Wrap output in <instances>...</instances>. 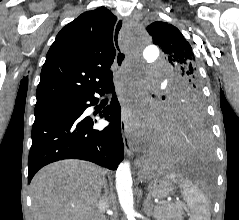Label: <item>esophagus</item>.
<instances>
[{
	"mask_svg": "<svg viewBox=\"0 0 239 220\" xmlns=\"http://www.w3.org/2000/svg\"><path fill=\"white\" fill-rule=\"evenodd\" d=\"M123 24L121 21L118 22V25L114 27L115 33L113 37V46L116 47V61L114 62V67H112V74H113V87H120V76H121V69H123L124 61L127 58L126 52L122 50L120 47V37L123 36ZM121 130L124 142L125 152L128 156H132L134 148L132 142L130 141L127 133V124L122 116L121 119Z\"/></svg>",
	"mask_w": 239,
	"mask_h": 220,
	"instance_id": "esophagus-1",
	"label": "esophagus"
}]
</instances>
